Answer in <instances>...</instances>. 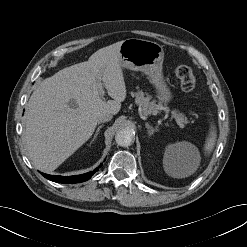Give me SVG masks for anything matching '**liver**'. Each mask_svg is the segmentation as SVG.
Instances as JSON below:
<instances>
[{
  "label": "liver",
  "instance_id": "obj_1",
  "mask_svg": "<svg viewBox=\"0 0 247 247\" xmlns=\"http://www.w3.org/2000/svg\"><path fill=\"white\" fill-rule=\"evenodd\" d=\"M121 44L99 49L88 61L58 71L33 91L25 113L24 139L38 169L54 171L92 136L100 114L120 111L126 98ZM99 85L113 100L102 99Z\"/></svg>",
  "mask_w": 247,
  "mask_h": 247
}]
</instances>
